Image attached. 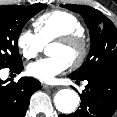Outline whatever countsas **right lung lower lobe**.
<instances>
[{
    "instance_id": "1",
    "label": "right lung lower lobe",
    "mask_w": 117,
    "mask_h": 117,
    "mask_svg": "<svg viewBox=\"0 0 117 117\" xmlns=\"http://www.w3.org/2000/svg\"><path fill=\"white\" fill-rule=\"evenodd\" d=\"M10 71L20 73L23 64L9 68ZM2 81L0 79V117H25L31 95L41 89L38 80L31 77H22L18 82Z\"/></svg>"
}]
</instances>
